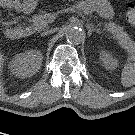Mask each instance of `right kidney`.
<instances>
[{"label":"right kidney","mask_w":135,"mask_h":135,"mask_svg":"<svg viewBox=\"0 0 135 135\" xmlns=\"http://www.w3.org/2000/svg\"><path fill=\"white\" fill-rule=\"evenodd\" d=\"M43 56L39 51L29 50L14 56L9 64L12 74L26 78L33 76L41 67Z\"/></svg>","instance_id":"obj_1"}]
</instances>
